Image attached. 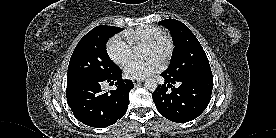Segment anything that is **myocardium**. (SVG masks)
<instances>
[{
	"instance_id": "1",
	"label": "myocardium",
	"mask_w": 276,
	"mask_h": 138,
	"mask_svg": "<svg viewBox=\"0 0 276 138\" xmlns=\"http://www.w3.org/2000/svg\"><path fill=\"white\" fill-rule=\"evenodd\" d=\"M147 46L156 48V49H162L163 53L161 56V61L163 63H167L170 58L172 57V54L174 52V41L170 34L163 32L162 34L158 35L148 43H146Z\"/></svg>"
}]
</instances>
